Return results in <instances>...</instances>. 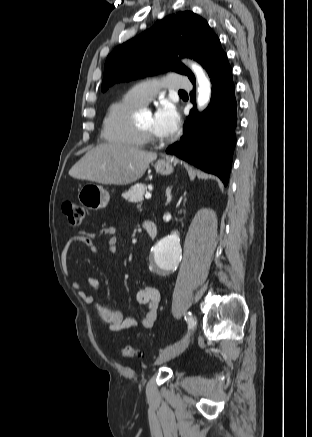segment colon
<instances>
[{"mask_svg":"<svg viewBox=\"0 0 312 437\" xmlns=\"http://www.w3.org/2000/svg\"><path fill=\"white\" fill-rule=\"evenodd\" d=\"M62 209L70 224L79 225L81 223L84 217V209L80 205L66 200L62 204ZM122 353L126 357H134L138 354V351L133 345H125L122 348Z\"/></svg>","mask_w":312,"mask_h":437,"instance_id":"colon-1","label":"colon"}]
</instances>
